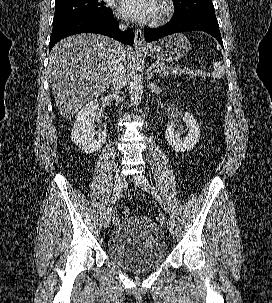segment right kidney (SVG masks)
Wrapping results in <instances>:
<instances>
[{"label":"right kidney","mask_w":272,"mask_h":303,"mask_svg":"<svg viewBox=\"0 0 272 303\" xmlns=\"http://www.w3.org/2000/svg\"><path fill=\"white\" fill-rule=\"evenodd\" d=\"M98 112V101H89L78 113L71 131L72 142L86 154L100 150L106 141V130L94 137V121Z\"/></svg>","instance_id":"1"}]
</instances>
